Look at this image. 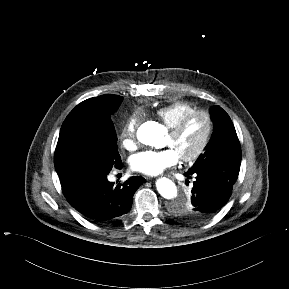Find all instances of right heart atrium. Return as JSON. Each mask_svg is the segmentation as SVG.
<instances>
[{
  "label": "right heart atrium",
  "mask_w": 289,
  "mask_h": 289,
  "mask_svg": "<svg viewBox=\"0 0 289 289\" xmlns=\"http://www.w3.org/2000/svg\"><path fill=\"white\" fill-rule=\"evenodd\" d=\"M139 124V118L136 115L131 116L125 123L121 132L122 146L127 150L136 148L135 131Z\"/></svg>",
  "instance_id": "1"
}]
</instances>
